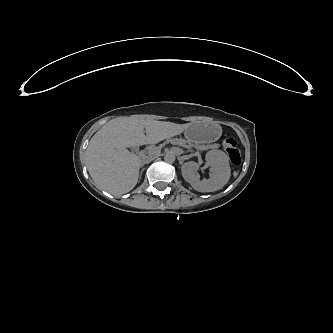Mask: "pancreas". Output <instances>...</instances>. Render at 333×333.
I'll use <instances>...</instances> for the list:
<instances>
[{"label":"pancreas","instance_id":"pancreas-1","mask_svg":"<svg viewBox=\"0 0 333 333\" xmlns=\"http://www.w3.org/2000/svg\"><path fill=\"white\" fill-rule=\"evenodd\" d=\"M176 142V141H175ZM179 143L181 144V145H185V144H187V142L185 141V140H179ZM190 146H194V145H192V144H190ZM159 149L158 148H154V153H152V154H155V153H157V151H158Z\"/></svg>","mask_w":333,"mask_h":333}]
</instances>
